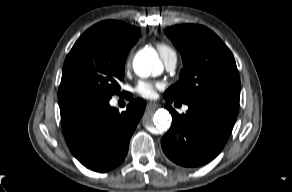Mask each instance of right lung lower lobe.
Here are the masks:
<instances>
[{
	"mask_svg": "<svg viewBox=\"0 0 292 192\" xmlns=\"http://www.w3.org/2000/svg\"><path fill=\"white\" fill-rule=\"evenodd\" d=\"M58 100L63 134L72 154L93 171L118 166L143 115L144 100H131L122 113L110 107V99L88 93L64 92Z\"/></svg>",
	"mask_w": 292,
	"mask_h": 192,
	"instance_id": "right-lung-lower-lobe-1",
	"label": "right lung lower lobe"
}]
</instances>
